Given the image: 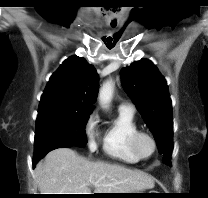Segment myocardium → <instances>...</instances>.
Instances as JSON below:
<instances>
[{
  "label": "myocardium",
  "instance_id": "f54148a6",
  "mask_svg": "<svg viewBox=\"0 0 208 198\" xmlns=\"http://www.w3.org/2000/svg\"><path fill=\"white\" fill-rule=\"evenodd\" d=\"M143 138H147L150 140L151 144H152V151L150 154L146 155L144 154L141 149H140V141L143 139ZM131 146H132V149L133 151L135 152V154L140 158V159H149L151 158L155 153H156V150H157V143H156V140L155 138L153 137L152 134H150L149 132H146V131H137L133 136H132V139H131Z\"/></svg>",
  "mask_w": 208,
  "mask_h": 198
}]
</instances>
